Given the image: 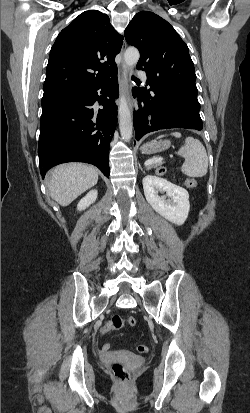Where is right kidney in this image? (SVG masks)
<instances>
[{"mask_svg": "<svg viewBox=\"0 0 250 413\" xmlns=\"http://www.w3.org/2000/svg\"><path fill=\"white\" fill-rule=\"evenodd\" d=\"M97 195H98L97 190H91L90 192H88V193L86 194V196L83 197V198L79 201V203H78V205H77V209H78L79 211L85 210L87 207H89L92 203H94V202L96 201Z\"/></svg>", "mask_w": 250, "mask_h": 413, "instance_id": "right-kidney-1", "label": "right kidney"}]
</instances>
